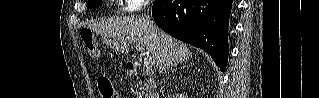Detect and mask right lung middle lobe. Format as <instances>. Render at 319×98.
Segmentation results:
<instances>
[{"mask_svg":"<svg viewBox=\"0 0 319 98\" xmlns=\"http://www.w3.org/2000/svg\"><path fill=\"white\" fill-rule=\"evenodd\" d=\"M102 4V0H89L88 1V6L90 8H95V7H98Z\"/></svg>","mask_w":319,"mask_h":98,"instance_id":"dd1d6c3e","label":"right lung middle lobe"}]
</instances>
